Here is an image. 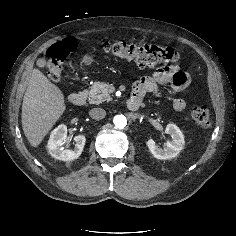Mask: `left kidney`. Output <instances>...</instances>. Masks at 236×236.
I'll list each match as a JSON object with an SVG mask.
<instances>
[{
	"label": "left kidney",
	"instance_id": "1",
	"mask_svg": "<svg viewBox=\"0 0 236 236\" xmlns=\"http://www.w3.org/2000/svg\"><path fill=\"white\" fill-rule=\"evenodd\" d=\"M165 132L171 135L172 140L166 143L164 149L159 148L153 139H148L146 145L152 155L160 160L172 159L176 157L184 148V135L175 124H168Z\"/></svg>",
	"mask_w": 236,
	"mask_h": 236
}]
</instances>
